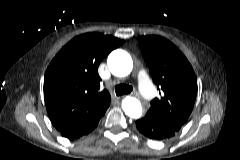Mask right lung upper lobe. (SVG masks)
<instances>
[{"label":"right lung upper lobe","mask_w":240,"mask_h":160,"mask_svg":"<svg viewBox=\"0 0 240 160\" xmlns=\"http://www.w3.org/2000/svg\"><path fill=\"white\" fill-rule=\"evenodd\" d=\"M122 40L99 33L73 38L51 61L44 78V100L53 126L63 131L107 110L110 94L99 92L98 66Z\"/></svg>","instance_id":"obj_1"}]
</instances>
